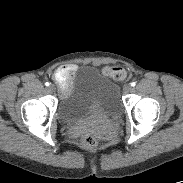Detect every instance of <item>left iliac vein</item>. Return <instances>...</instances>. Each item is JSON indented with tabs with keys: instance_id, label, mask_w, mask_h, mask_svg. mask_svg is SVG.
I'll list each match as a JSON object with an SVG mask.
<instances>
[{
	"instance_id": "4c4485c4",
	"label": "left iliac vein",
	"mask_w": 183,
	"mask_h": 183,
	"mask_svg": "<svg viewBox=\"0 0 183 183\" xmlns=\"http://www.w3.org/2000/svg\"><path fill=\"white\" fill-rule=\"evenodd\" d=\"M123 90L128 93L132 90V87L130 84H125L124 87H123Z\"/></svg>"
}]
</instances>
